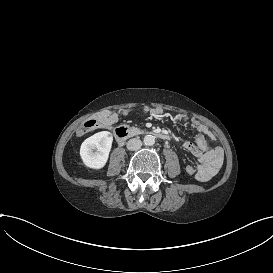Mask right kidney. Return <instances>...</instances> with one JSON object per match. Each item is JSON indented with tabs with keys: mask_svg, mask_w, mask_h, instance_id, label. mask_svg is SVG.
I'll return each mask as SVG.
<instances>
[{
	"mask_svg": "<svg viewBox=\"0 0 273 273\" xmlns=\"http://www.w3.org/2000/svg\"><path fill=\"white\" fill-rule=\"evenodd\" d=\"M112 141V133L108 131H101L87 138L80 147L83 163L93 169L104 167L108 160Z\"/></svg>",
	"mask_w": 273,
	"mask_h": 273,
	"instance_id": "right-kidney-1",
	"label": "right kidney"
}]
</instances>
